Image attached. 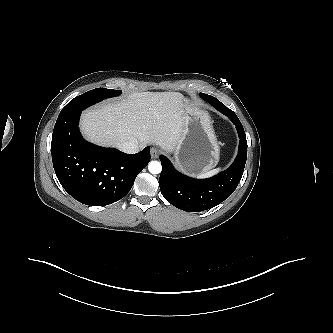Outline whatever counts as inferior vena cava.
Wrapping results in <instances>:
<instances>
[{"label":"inferior vena cava","instance_id":"obj_1","mask_svg":"<svg viewBox=\"0 0 333 333\" xmlns=\"http://www.w3.org/2000/svg\"><path fill=\"white\" fill-rule=\"evenodd\" d=\"M119 149L124 153L134 154L139 151V146L136 142L127 141L122 143Z\"/></svg>","mask_w":333,"mask_h":333}]
</instances>
